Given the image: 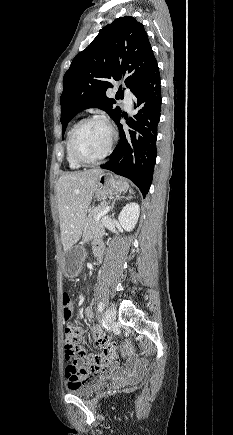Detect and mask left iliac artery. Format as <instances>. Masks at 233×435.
<instances>
[{
  "instance_id": "left-iliac-artery-1",
  "label": "left iliac artery",
  "mask_w": 233,
  "mask_h": 435,
  "mask_svg": "<svg viewBox=\"0 0 233 435\" xmlns=\"http://www.w3.org/2000/svg\"><path fill=\"white\" fill-rule=\"evenodd\" d=\"M103 309H104V303H103V302H100V303L98 304V311H99V312H102Z\"/></svg>"
}]
</instances>
